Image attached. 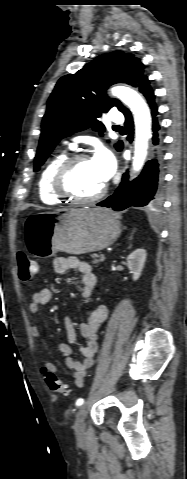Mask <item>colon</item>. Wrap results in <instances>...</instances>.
<instances>
[{
	"label": "colon",
	"mask_w": 187,
	"mask_h": 479,
	"mask_svg": "<svg viewBox=\"0 0 187 479\" xmlns=\"http://www.w3.org/2000/svg\"><path fill=\"white\" fill-rule=\"evenodd\" d=\"M17 266H18V273L19 277L22 282H30L37 274L38 267L34 260H32L28 255L25 253H19L17 255ZM45 381L50 388V390L54 393L69 396L70 390L68 386L60 380L55 374L53 373H46Z\"/></svg>",
	"instance_id": "5ec220e1"
}]
</instances>
